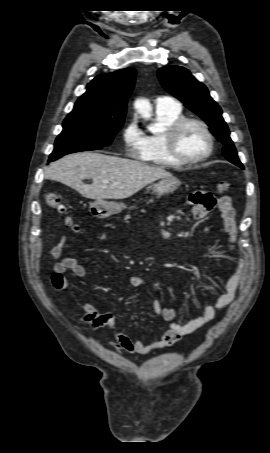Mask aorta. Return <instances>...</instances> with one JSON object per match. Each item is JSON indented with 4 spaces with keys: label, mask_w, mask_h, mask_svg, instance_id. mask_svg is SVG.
<instances>
[{
    "label": "aorta",
    "mask_w": 270,
    "mask_h": 453,
    "mask_svg": "<svg viewBox=\"0 0 270 453\" xmlns=\"http://www.w3.org/2000/svg\"><path fill=\"white\" fill-rule=\"evenodd\" d=\"M134 107L143 117H150L152 112L151 104L146 100H136Z\"/></svg>",
    "instance_id": "1"
}]
</instances>
